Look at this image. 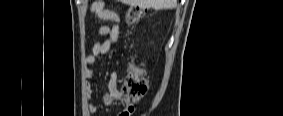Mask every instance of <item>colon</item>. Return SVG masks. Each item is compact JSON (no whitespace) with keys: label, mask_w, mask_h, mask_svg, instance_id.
Masks as SVG:
<instances>
[{"label":"colon","mask_w":283,"mask_h":116,"mask_svg":"<svg viewBox=\"0 0 283 116\" xmlns=\"http://www.w3.org/2000/svg\"><path fill=\"white\" fill-rule=\"evenodd\" d=\"M144 16V10L138 5H130L125 11L127 23L136 24ZM147 90V82L145 78V70L139 65L132 63L129 66L128 74L124 80V84L115 96L128 107L121 113L122 116H130L133 113L132 104L138 101ZM107 99H111L107 97Z\"/></svg>","instance_id":"1"}]
</instances>
